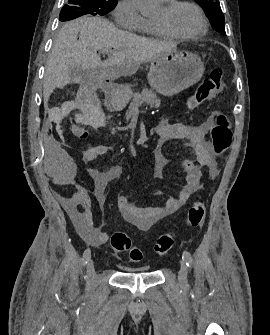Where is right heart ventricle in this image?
<instances>
[{
    "mask_svg": "<svg viewBox=\"0 0 270 335\" xmlns=\"http://www.w3.org/2000/svg\"><path fill=\"white\" fill-rule=\"evenodd\" d=\"M141 31L150 36L157 37V38L167 37L164 34H162L160 30L155 26V24L153 23V20H149L145 18L142 24ZM162 78H168V77H162Z\"/></svg>",
    "mask_w": 270,
    "mask_h": 335,
    "instance_id": "e07e8e85",
    "label": "right heart ventricle"
}]
</instances>
